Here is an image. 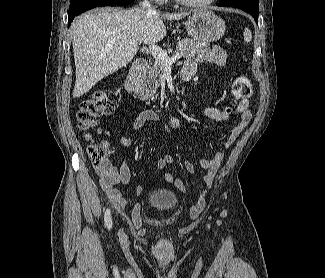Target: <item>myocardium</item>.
Instances as JSON below:
<instances>
[{
    "label": "myocardium",
    "mask_w": 325,
    "mask_h": 278,
    "mask_svg": "<svg viewBox=\"0 0 325 278\" xmlns=\"http://www.w3.org/2000/svg\"><path fill=\"white\" fill-rule=\"evenodd\" d=\"M180 5L186 7H193V8H204L212 4L215 0H201V1H193V0H175Z\"/></svg>",
    "instance_id": "1"
}]
</instances>
